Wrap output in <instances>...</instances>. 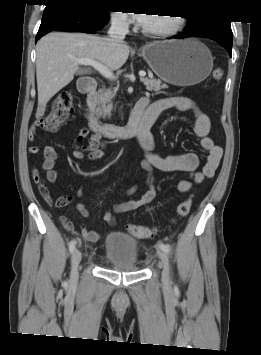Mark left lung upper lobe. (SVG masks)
Masks as SVG:
<instances>
[{
    "label": "left lung upper lobe",
    "instance_id": "1",
    "mask_svg": "<svg viewBox=\"0 0 261 355\" xmlns=\"http://www.w3.org/2000/svg\"><path fill=\"white\" fill-rule=\"evenodd\" d=\"M188 19V25L186 26L187 31H198L202 27L206 26L210 22H224V23H230V21L227 20H219V19H210V18H187Z\"/></svg>",
    "mask_w": 261,
    "mask_h": 355
}]
</instances>
